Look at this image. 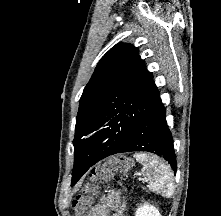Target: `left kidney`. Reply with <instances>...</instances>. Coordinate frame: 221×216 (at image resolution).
I'll use <instances>...</instances> for the list:
<instances>
[{
	"instance_id": "5707ae66",
	"label": "left kidney",
	"mask_w": 221,
	"mask_h": 216,
	"mask_svg": "<svg viewBox=\"0 0 221 216\" xmlns=\"http://www.w3.org/2000/svg\"><path fill=\"white\" fill-rule=\"evenodd\" d=\"M135 216H161V214L154 206L144 203L136 210Z\"/></svg>"
}]
</instances>
